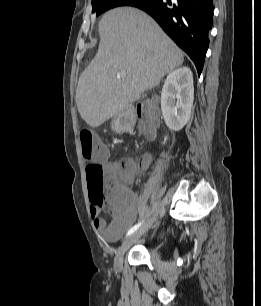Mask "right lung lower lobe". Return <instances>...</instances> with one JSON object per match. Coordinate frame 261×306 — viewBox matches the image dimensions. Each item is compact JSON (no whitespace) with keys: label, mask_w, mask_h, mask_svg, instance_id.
<instances>
[{"label":"right lung lower lobe","mask_w":261,"mask_h":306,"mask_svg":"<svg viewBox=\"0 0 261 306\" xmlns=\"http://www.w3.org/2000/svg\"><path fill=\"white\" fill-rule=\"evenodd\" d=\"M131 6L151 15L201 74L212 27L213 0H138Z\"/></svg>","instance_id":"right-lung-lower-lobe-1"}]
</instances>
